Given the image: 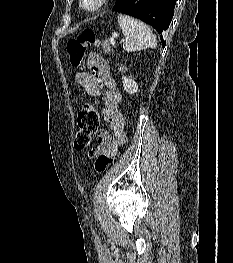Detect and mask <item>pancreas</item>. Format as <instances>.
Masks as SVG:
<instances>
[{
    "mask_svg": "<svg viewBox=\"0 0 233 263\" xmlns=\"http://www.w3.org/2000/svg\"><path fill=\"white\" fill-rule=\"evenodd\" d=\"M102 49H103V51H104L105 53H108V54H110V53L113 54V53H114L113 47L108 43L107 40H105V41L102 42Z\"/></svg>",
    "mask_w": 233,
    "mask_h": 263,
    "instance_id": "pancreas-1",
    "label": "pancreas"
}]
</instances>
